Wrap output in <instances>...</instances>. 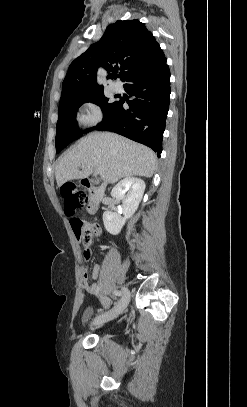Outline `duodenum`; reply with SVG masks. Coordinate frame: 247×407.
I'll use <instances>...</instances> for the list:
<instances>
[{
  "label": "duodenum",
  "instance_id": "obj_1",
  "mask_svg": "<svg viewBox=\"0 0 247 407\" xmlns=\"http://www.w3.org/2000/svg\"><path fill=\"white\" fill-rule=\"evenodd\" d=\"M80 183L87 190L90 196L87 213L89 215H94L99 211L105 198V194L100 191L95 182L89 178H82Z\"/></svg>",
  "mask_w": 247,
  "mask_h": 407
}]
</instances>
